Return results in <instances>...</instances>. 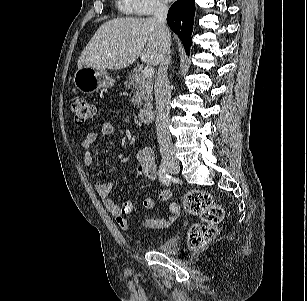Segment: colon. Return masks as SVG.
I'll list each match as a JSON object with an SVG mask.
<instances>
[{"instance_id":"1","label":"colon","mask_w":307,"mask_h":301,"mask_svg":"<svg viewBox=\"0 0 307 301\" xmlns=\"http://www.w3.org/2000/svg\"><path fill=\"white\" fill-rule=\"evenodd\" d=\"M75 122L83 125L97 117V106L82 97H76L71 102ZM185 211L191 215L198 216L202 223L194 224L189 229L188 243L193 249H200L211 242L218 234L217 224L223 218V209L217 204L212 195L204 190H193L187 192L181 201ZM179 208L178 203L171 204L172 217L167 219L149 218L144 225L148 228H163L171 222Z\"/></svg>"}]
</instances>
